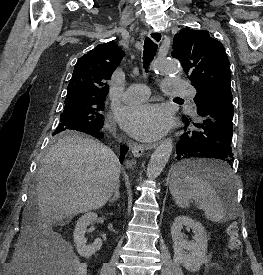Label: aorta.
Segmentation results:
<instances>
[{"label": "aorta", "instance_id": "obj_1", "mask_svg": "<svg viewBox=\"0 0 263 275\" xmlns=\"http://www.w3.org/2000/svg\"><path fill=\"white\" fill-rule=\"evenodd\" d=\"M152 70L160 74L177 75L182 71L180 63L175 59L157 60ZM173 149V141L171 138L165 139L160 143L154 153L151 155L147 166V178L154 180L157 178L166 166Z\"/></svg>", "mask_w": 263, "mask_h": 275}]
</instances>
